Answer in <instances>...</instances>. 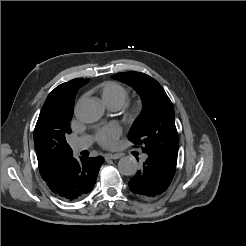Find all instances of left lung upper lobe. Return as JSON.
I'll return each instance as SVG.
<instances>
[{"label":"left lung upper lobe","instance_id":"obj_1","mask_svg":"<svg viewBox=\"0 0 246 246\" xmlns=\"http://www.w3.org/2000/svg\"><path fill=\"white\" fill-rule=\"evenodd\" d=\"M133 87L141 96L143 110L135 120L128 139L142 145L144 153H154L177 164L179 138L171 100L161 85L139 72L111 76Z\"/></svg>","mask_w":246,"mask_h":246}]
</instances>
